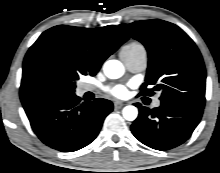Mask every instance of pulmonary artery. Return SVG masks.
<instances>
[{
	"label": "pulmonary artery",
	"instance_id": "obj_1",
	"mask_svg": "<svg viewBox=\"0 0 220 173\" xmlns=\"http://www.w3.org/2000/svg\"><path fill=\"white\" fill-rule=\"evenodd\" d=\"M121 59L124 62L128 71L132 73H139L146 68V54L144 51L138 52H121ZM86 90L93 91V86L87 85ZM160 100L157 98L153 101V106L158 107Z\"/></svg>",
	"mask_w": 220,
	"mask_h": 173
}]
</instances>
